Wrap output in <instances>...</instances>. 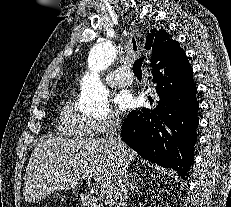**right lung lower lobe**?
I'll return each instance as SVG.
<instances>
[{
  "mask_svg": "<svg viewBox=\"0 0 231 207\" xmlns=\"http://www.w3.org/2000/svg\"><path fill=\"white\" fill-rule=\"evenodd\" d=\"M172 63H151L156 95L150 97L151 106L128 114L121 134L143 158L171 168L183 178L194 158L199 103L188 60Z\"/></svg>",
  "mask_w": 231,
  "mask_h": 207,
  "instance_id": "1",
  "label": "right lung lower lobe"
}]
</instances>
